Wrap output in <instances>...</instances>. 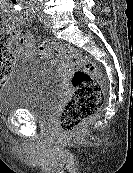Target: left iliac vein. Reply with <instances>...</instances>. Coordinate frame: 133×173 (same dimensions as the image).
Instances as JSON below:
<instances>
[{
  "label": "left iliac vein",
  "instance_id": "obj_1",
  "mask_svg": "<svg viewBox=\"0 0 133 173\" xmlns=\"http://www.w3.org/2000/svg\"><path fill=\"white\" fill-rule=\"evenodd\" d=\"M42 16H44L43 14H41ZM50 26H51V23H50V19L48 18V17H44V27L46 28V29H49L50 28Z\"/></svg>",
  "mask_w": 133,
  "mask_h": 173
}]
</instances>
